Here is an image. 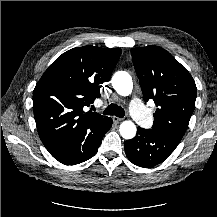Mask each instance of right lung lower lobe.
Listing matches in <instances>:
<instances>
[{"instance_id": "obj_1", "label": "right lung lower lobe", "mask_w": 217, "mask_h": 217, "mask_svg": "<svg viewBox=\"0 0 217 217\" xmlns=\"http://www.w3.org/2000/svg\"><path fill=\"white\" fill-rule=\"evenodd\" d=\"M111 126L112 119L107 117L106 120L94 127L77 143L48 151L56 160L63 164L75 165L82 163L96 154L103 136Z\"/></svg>"}]
</instances>
